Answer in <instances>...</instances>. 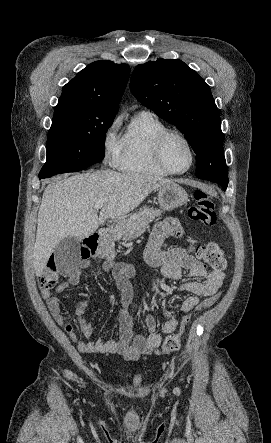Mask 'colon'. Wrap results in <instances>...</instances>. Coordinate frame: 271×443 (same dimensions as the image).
<instances>
[{
  "label": "colon",
  "instance_id": "5ec220e1",
  "mask_svg": "<svg viewBox=\"0 0 271 443\" xmlns=\"http://www.w3.org/2000/svg\"><path fill=\"white\" fill-rule=\"evenodd\" d=\"M195 204L189 209L188 215L191 220L197 221L205 227H212L216 223L215 207L212 198L203 190H196L194 193ZM201 259L210 265L215 271L222 272L226 268V258L223 249L216 242H210L198 248ZM82 257L84 259H110L114 256V249L104 239L97 236L89 238L82 247ZM58 280V268L55 260H49L46 268L38 277V286L42 291L51 290ZM220 294H214L195 308V312L205 310L217 302ZM192 314L183 317L179 330L170 334L163 342L159 354H169L180 348L182 337L191 320Z\"/></svg>",
  "mask_w": 271,
  "mask_h": 443
}]
</instances>
